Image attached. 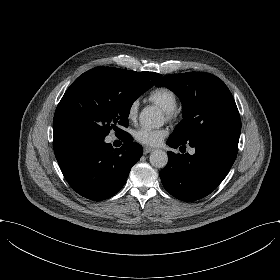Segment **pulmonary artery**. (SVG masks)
<instances>
[{
  "label": "pulmonary artery",
  "instance_id": "obj_1",
  "mask_svg": "<svg viewBox=\"0 0 280 280\" xmlns=\"http://www.w3.org/2000/svg\"><path fill=\"white\" fill-rule=\"evenodd\" d=\"M189 152L192 154L194 151L191 149Z\"/></svg>",
  "mask_w": 280,
  "mask_h": 280
}]
</instances>
